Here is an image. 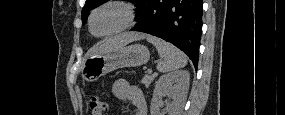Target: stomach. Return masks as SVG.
Segmentation results:
<instances>
[{"mask_svg": "<svg viewBox=\"0 0 285 115\" xmlns=\"http://www.w3.org/2000/svg\"><path fill=\"white\" fill-rule=\"evenodd\" d=\"M149 58L148 48L141 44L123 46L107 53L91 54L82 66V78L93 82L116 69L144 65Z\"/></svg>", "mask_w": 285, "mask_h": 115, "instance_id": "obj_1", "label": "stomach"}]
</instances>
